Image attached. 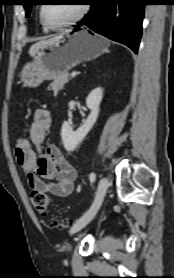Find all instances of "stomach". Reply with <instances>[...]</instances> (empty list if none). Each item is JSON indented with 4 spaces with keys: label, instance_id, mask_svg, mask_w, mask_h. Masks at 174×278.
<instances>
[{
    "label": "stomach",
    "instance_id": "obj_1",
    "mask_svg": "<svg viewBox=\"0 0 174 278\" xmlns=\"http://www.w3.org/2000/svg\"><path fill=\"white\" fill-rule=\"evenodd\" d=\"M109 41L88 29L81 28L59 35L39 48L20 72L24 87H37L53 80L78 64L95 59L108 50Z\"/></svg>",
    "mask_w": 174,
    "mask_h": 278
}]
</instances>
